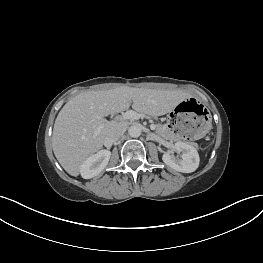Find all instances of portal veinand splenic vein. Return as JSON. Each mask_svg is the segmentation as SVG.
I'll use <instances>...</instances> for the list:
<instances>
[{"label": "portal vein and splenic vein", "instance_id": "1", "mask_svg": "<svg viewBox=\"0 0 263 263\" xmlns=\"http://www.w3.org/2000/svg\"><path fill=\"white\" fill-rule=\"evenodd\" d=\"M122 117H123L124 119L137 120V119L140 118V114L137 113V112H135V111H133V110H128V111H126V112L122 115ZM101 129H102V126H99V127L96 129V131H95V135L99 134L100 131H101ZM150 129H151L152 131H154V130L156 129V125H155V124H151V125H150Z\"/></svg>", "mask_w": 263, "mask_h": 263}]
</instances>
